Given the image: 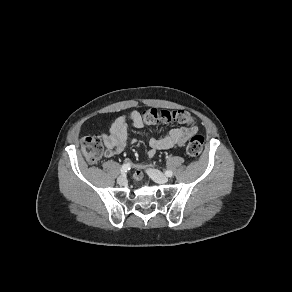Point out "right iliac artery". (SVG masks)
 I'll return each instance as SVG.
<instances>
[{
	"instance_id": "right-iliac-artery-1",
	"label": "right iliac artery",
	"mask_w": 292,
	"mask_h": 292,
	"mask_svg": "<svg viewBox=\"0 0 292 292\" xmlns=\"http://www.w3.org/2000/svg\"><path fill=\"white\" fill-rule=\"evenodd\" d=\"M130 167H131V163L123 164L120 170L121 174L127 173L130 170Z\"/></svg>"
}]
</instances>
